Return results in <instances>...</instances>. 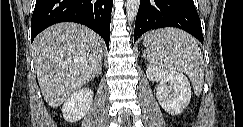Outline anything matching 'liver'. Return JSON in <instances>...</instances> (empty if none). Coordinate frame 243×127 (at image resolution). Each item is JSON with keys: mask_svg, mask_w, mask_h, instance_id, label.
Segmentation results:
<instances>
[{"mask_svg": "<svg viewBox=\"0 0 243 127\" xmlns=\"http://www.w3.org/2000/svg\"><path fill=\"white\" fill-rule=\"evenodd\" d=\"M103 50L98 34L71 22L55 24L35 38L34 65L49 106H60L99 73Z\"/></svg>", "mask_w": 243, "mask_h": 127, "instance_id": "6515ba94", "label": "liver"}]
</instances>
